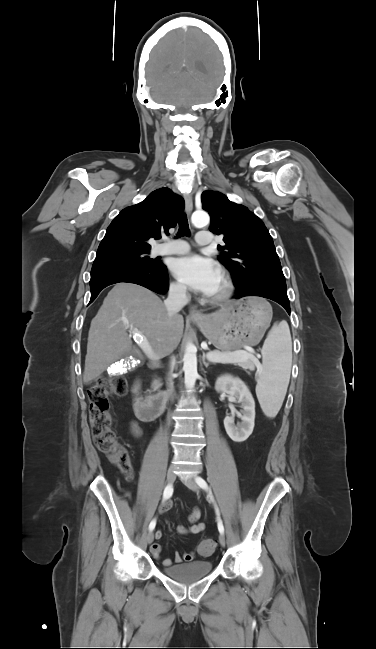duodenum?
I'll return each mask as SVG.
<instances>
[{"label": "duodenum", "instance_id": "410a0bca", "mask_svg": "<svg viewBox=\"0 0 376 649\" xmlns=\"http://www.w3.org/2000/svg\"><path fill=\"white\" fill-rule=\"evenodd\" d=\"M132 405L137 418L151 421L158 417L165 407L168 395L165 393L144 397L141 394V381L137 379L131 388Z\"/></svg>", "mask_w": 376, "mask_h": 649}]
</instances>
